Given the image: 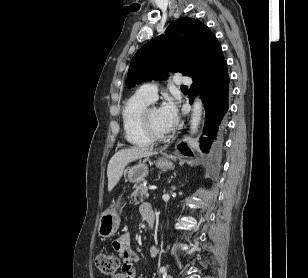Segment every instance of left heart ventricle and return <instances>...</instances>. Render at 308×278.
Masks as SVG:
<instances>
[{
	"label": "left heart ventricle",
	"mask_w": 308,
	"mask_h": 278,
	"mask_svg": "<svg viewBox=\"0 0 308 278\" xmlns=\"http://www.w3.org/2000/svg\"><path fill=\"white\" fill-rule=\"evenodd\" d=\"M149 120H150V124H151L153 130L156 133H158V134H165L166 133L161 126L158 109H154L150 112Z\"/></svg>",
	"instance_id": "left-heart-ventricle-1"
}]
</instances>
